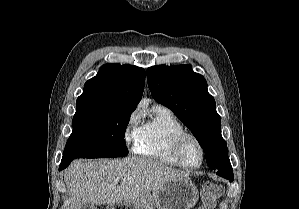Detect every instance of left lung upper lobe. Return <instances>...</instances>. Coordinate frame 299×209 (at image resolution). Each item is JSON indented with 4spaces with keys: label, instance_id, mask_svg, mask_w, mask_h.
Instances as JSON below:
<instances>
[{
    "label": "left lung upper lobe",
    "instance_id": "1",
    "mask_svg": "<svg viewBox=\"0 0 299 209\" xmlns=\"http://www.w3.org/2000/svg\"><path fill=\"white\" fill-rule=\"evenodd\" d=\"M147 81L154 100L171 109L191 130L206 153L208 166L220 169L230 164L221 118L205 78L189 65H159L147 69Z\"/></svg>",
    "mask_w": 299,
    "mask_h": 209
}]
</instances>
